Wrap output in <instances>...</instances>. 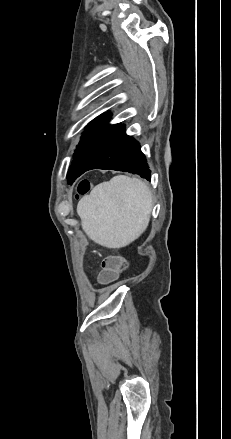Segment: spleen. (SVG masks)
Here are the masks:
<instances>
[{
    "mask_svg": "<svg viewBox=\"0 0 231 439\" xmlns=\"http://www.w3.org/2000/svg\"><path fill=\"white\" fill-rule=\"evenodd\" d=\"M151 210L148 186L124 175L98 184L77 205L83 230L109 248L124 247L137 239L149 224Z\"/></svg>",
    "mask_w": 231,
    "mask_h": 439,
    "instance_id": "spleen-1",
    "label": "spleen"
}]
</instances>
